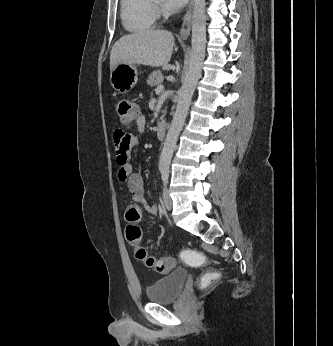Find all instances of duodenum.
<instances>
[{
	"mask_svg": "<svg viewBox=\"0 0 333 346\" xmlns=\"http://www.w3.org/2000/svg\"><path fill=\"white\" fill-rule=\"evenodd\" d=\"M167 132V124L164 121H160L156 127L157 138L162 140L165 138Z\"/></svg>",
	"mask_w": 333,
	"mask_h": 346,
	"instance_id": "duodenum-1",
	"label": "duodenum"
}]
</instances>
